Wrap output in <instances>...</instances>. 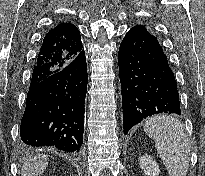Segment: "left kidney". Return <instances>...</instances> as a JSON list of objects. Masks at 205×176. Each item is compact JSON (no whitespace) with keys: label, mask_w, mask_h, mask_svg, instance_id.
<instances>
[{"label":"left kidney","mask_w":205,"mask_h":176,"mask_svg":"<svg viewBox=\"0 0 205 176\" xmlns=\"http://www.w3.org/2000/svg\"><path fill=\"white\" fill-rule=\"evenodd\" d=\"M139 164L146 176H159V166L156 161L149 155H144L139 158Z\"/></svg>","instance_id":"5707ae66"}]
</instances>
